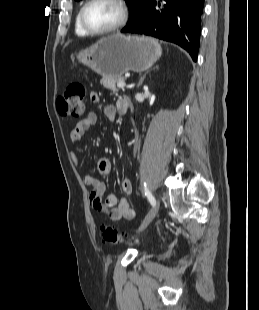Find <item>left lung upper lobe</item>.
<instances>
[{"label": "left lung upper lobe", "mask_w": 259, "mask_h": 310, "mask_svg": "<svg viewBox=\"0 0 259 310\" xmlns=\"http://www.w3.org/2000/svg\"><path fill=\"white\" fill-rule=\"evenodd\" d=\"M147 1L148 0H126L130 8V20L128 23H131L138 18L142 8L144 7Z\"/></svg>", "instance_id": "5c2ea615"}]
</instances>
